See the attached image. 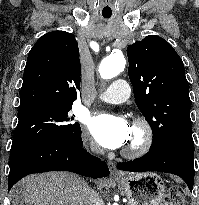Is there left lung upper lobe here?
<instances>
[{
  "label": "left lung upper lobe",
  "instance_id": "5c2ea615",
  "mask_svg": "<svg viewBox=\"0 0 199 205\" xmlns=\"http://www.w3.org/2000/svg\"><path fill=\"white\" fill-rule=\"evenodd\" d=\"M129 79L136 104L153 132L150 149L191 137L189 84L174 48L156 35L127 47Z\"/></svg>",
  "mask_w": 199,
  "mask_h": 205
}]
</instances>
